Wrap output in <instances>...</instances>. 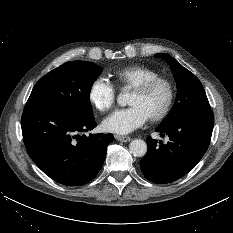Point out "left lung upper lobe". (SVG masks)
Listing matches in <instances>:
<instances>
[{"instance_id":"5c2ea615","label":"left lung upper lobe","mask_w":233,"mask_h":233,"mask_svg":"<svg viewBox=\"0 0 233 233\" xmlns=\"http://www.w3.org/2000/svg\"><path fill=\"white\" fill-rule=\"evenodd\" d=\"M170 65L177 83V97L173 108L160 124L169 125L183 116L197 111L211 110L204 88L199 79L166 53L156 54Z\"/></svg>"}]
</instances>
